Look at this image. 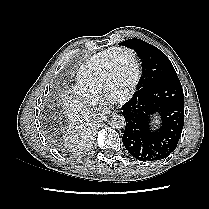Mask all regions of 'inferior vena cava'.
Masks as SVG:
<instances>
[{
  "label": "inferior vena cava",
  "mask_w": 209,
  "mask_h": 209,
  "mask_svg": "<svg viewBox=\"0 0 209 209\" xmlns=\"http://www.w3.org/2000/svg\"><path fill=\"white\" fill-rule=\"evenodd\" d=\"M98 110L100 111V114L101 115L105 114L106 111H107L106 108H104V107L103 108L102 107L101 108H98Z\"/></svg>",
  "instance_id": "inferior-vena-cava-1"
}]
</instances>
